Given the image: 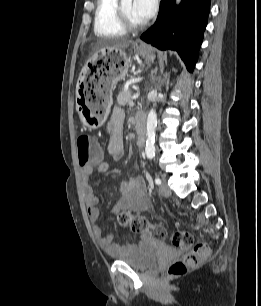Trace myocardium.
<instances>
[{
    "mask_svg": "<svg viewBox=\"0 0 261 306\" xmlns=\"http://www.w3.org/2000/svg\"><path fill=\"white\" fill-rule=\"evenodd\" d=\"M117 12L120 19L121 24L127 31H138L141 30L145 26V22L134 23L128 15L125 13L122 3H118Z\"/></svg>",
    "mask_w": 261,
    "mask_h": 306,
    "instance_id": "1",
    "label": "myocardium"
}]
</instances>
